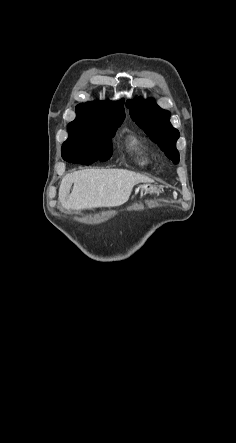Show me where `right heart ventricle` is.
I'll return each mask as SVG.
<instances>
[{
	"instance_id": "1",
	"label": "right heart ventricle",
	"mask_w": 236,
	"mask_h": 443,
	"mask_svg": "<svg viewBox=\"0 0 236 443\" xmlns=\"http://www.w3.org/2000/svg\"><path fill=\"white\" fill-rule=\"evenodd\" d=\"M127 149L133 154L135 162L146 167L150 164V157L145 143L136 135H130L126 142Z\"/></svg>"
}]
</instances>
